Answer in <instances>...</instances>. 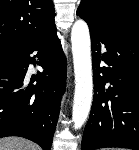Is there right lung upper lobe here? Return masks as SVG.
<instances>
[{
    "label": "right lung upper lobe",
    "mask_w": 139,
    "mask_h": 150,
    "mask_svg": "<svg viewBox=\"0 0 139 150\" xmlns=\"http://www.w3.org/2000/svg\"><path fill=\"white\" fill-rule=\"evenodd\" d=\"M54 17L52 0H0V45L18 48L36 41Z\"/></svg>",
    "instance_id": "obj_1"
}]
</instances>
